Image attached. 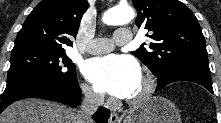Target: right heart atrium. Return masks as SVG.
Listing matches in <instances>:
<instances>
[{
  "instance_id": "1",
  "label": "right heart atrium",
  "mask_w": 221,
  "mask_h": 123,
  "mask_svg": "<svg viewBox=\"0 0 221 123\" xmlns=\"http://www.w3.org/2000/svg\"><path fill=\"white\" fill-rule=\"evenodd\" d=\"M81 91L88 102L94 104H100L103 102V95L93 89L91 86L87 84H81Z\"/></svg>"
}]
</instances>
